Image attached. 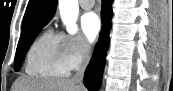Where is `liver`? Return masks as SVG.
Segmentation results:
<instances>
[{"label": "liver", "instance_id": "obj_1", "mask_svg": "<svg viewBox=\"0 0 173 91\" xmlns=\"http://www.w3.org/2000/svg\"><path fill=\"white\" fill-rule=\"evenodd\" d=\"M12 91H85L84 88L72 80L43 79L27 76L19 77Z\"/></svg>", "mask_w": 173, "mask_h": 91}]
</instances>
